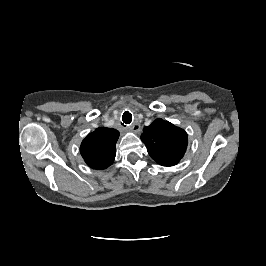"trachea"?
<instances>
[{"label":"trachea","mask_w":266,"mask_h":266,"mask_svg":"<svg viewBox=\"0 0 266 266\" xmlns=\"http://www.w3.org/2000/svg\"><path fill=\"white\" fill-rule=\"evenodd\" d=\"M122 121L125 124H130L132 122V114L129 111H125L122 115Z\"/></svg>","instance_id":"obj_1"}]
</instances>
